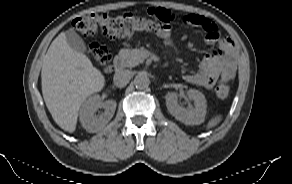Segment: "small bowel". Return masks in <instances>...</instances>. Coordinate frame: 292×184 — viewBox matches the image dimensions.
<instances>
[{"instance_id": "1", "label": "small bowel", "mask_w": 292, "mask_h": 184, "mask_svg": "<svg viewBox=\"0 0 292 184\" xmlns=\"http://www.w3.org/2000/svg\"><path fill=\"white\" fill-rule=\"evenodd\" d=\"M186 25L200 27L205 31V41L208 44H218L216 51L207 54L198 71L184 75V80L190 84L206 89L213 88L218 79L230 81L237 69V53L234 43L229 38H220L219 28L208 18L198 14H188L183 17ZM164 43L175 48L170 29L158 33Z\"/></svg>"}]
</instances>
